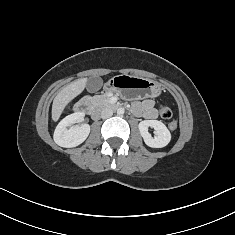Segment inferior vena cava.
I'll list each match as a JSON object with an SVG mask.
<instances>
[{"label": "inferior vena cava", "instance_id": "602c4592", "mask_svg": "<svg viewBox=\"0 0 235 235\" xmlns=\"http://www.w3.org/2000/svg\"><path fill=\"white\" fill-rule=\"evenodd\" d=\"M113 115V110L110 109V108H105L102 110L101 112V118L102 119H106V118H109Z\"/></svg>", "mask_w": 235, "mask_h": 235}]
</instances>
